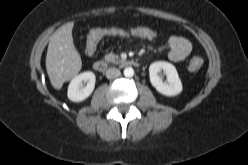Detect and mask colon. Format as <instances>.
Segmentation results:
<instances>
[{"mask_svg":"<svg viewBox=\"0 0 248 165\" xmlns=\"http://www.w3.org/2000/svg\"><path fill=\"white\" fill-rule=\"evenodd\" d=\"M141 33L145 36L156 37L153 30H142ZM124 34V31L119 28H99L93 30L89 34L86 44V51L88 54H93L99 41L108 36H118ZM203 65V60L200 57H194L190 60L188 68L190 71H198Z\"/></svg>","mask_w":248,"mask_h":165,"instance_id":"obj_1","label":"colon"}]
</instances>
